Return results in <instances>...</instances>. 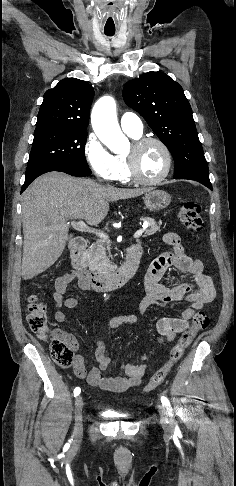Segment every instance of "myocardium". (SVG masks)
<instances>
[{"instance_id": "myocardium-1", "label": "myocardium", "mask_w": 236, "mask_h": 486, "mask_svg": "<svg viewBox=\"0 0 236 486\" xmlns=\"http://www.w3.org/2000/svg\"><path fill=\"white\" fill-rule=\"evenodd\" d=\"M157 144L163 151L165 156V169L163 173L154 179H146L141 176L137 166V158L136 153L148 144ZM133 152L129 155L125 156L128 173L131 180L135 183L142 184V185H157L163 182L171 172L172 165H173V158L170 149L168 146L160 139L155 137H143L136 139L132 144Z\"/></svg>"}]
</instances>
